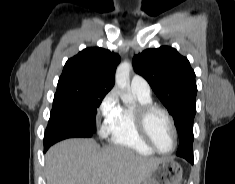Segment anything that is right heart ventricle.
<instances>
[{"instance_id":"e07e8e85","label":"right heart ventricle","mask_w":235,"mask_h":184,"mask_svg":"<svg viewBox=\"0 0 235 184\" xmlns=\"http://www.w3.org/2000/svg\"><path fill=\"white\" fill-rule=\"evenodd\" d=\"M137 99L140 105L151 104L150 98L137 96ZM106 148L113 157H120L125 153L154 155L153 150L138 132L134 111L129 108H121L119 111L111 133V139Z\"/></svg>"}]
</instances>
